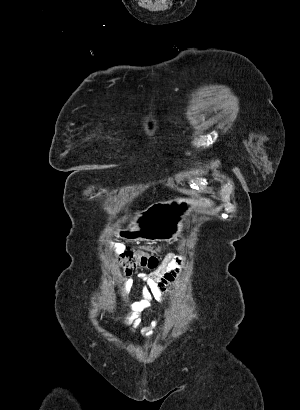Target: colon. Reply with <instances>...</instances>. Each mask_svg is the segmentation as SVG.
<instances>
[{
    "mask_svg": "<svg viewBox=\"0 0 300 410\" xmlns=\"http://www.w3.org/2000/svg\"><path fill=\"white\" fill-rule=\"evenodd\" d=\"M159 262V255L134 248L125 250L119 257V263L126 275L136 270L153 269Z\"/></svg>",
    "mask_w": 300,
    "mask_h": 410,
    "instance_id": "obj_1",
    "label": "colon"
}]
</instances>
